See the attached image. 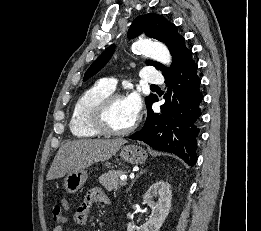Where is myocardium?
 <instances>
[{
    "label": "myocardium",
    "instance_id": "obj_1",
    "mask_svg": "<svg viewBox=\"0 0 261 231\" xmlns=\"http://www.w3.org/2000/svg\"><path fill=\"white\" fill-rule=\"evenodd\" d=\"M121 98H125L120 92H112L99 101L93 108L91 113V123L93 127L102 134L108 135H126L133 132L138 124L139 118L136 117L134 122L127 128L116 129L109 122V113L113 103Z\"/></svg>",
    "mask_w": 261,
    "mask_h": 231
}]
</instances>
